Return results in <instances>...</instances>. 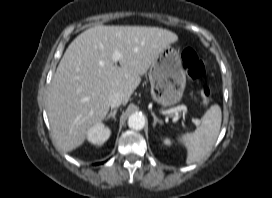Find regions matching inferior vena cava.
<instances>
[{
	"instance_id": "inferior-vena-cava-1",
	"label": "inferior vena cava",
	"mask_w": 272,
	"mask_h": 198,
	"mask_svg": "<svg viewBox=\"0 0 272 198\" xmlns=\"http://www.w3.org/2000/svg\"><path fill=\"white\" fill-rule=\"evenodd\" d=\"M109 105L112 108H116L119 107L122 103H123V99L122 96L120 95V93L114 92L109 96Z\"/></svg>"
}]
</instances>
